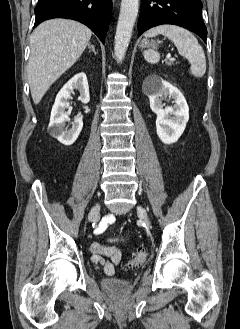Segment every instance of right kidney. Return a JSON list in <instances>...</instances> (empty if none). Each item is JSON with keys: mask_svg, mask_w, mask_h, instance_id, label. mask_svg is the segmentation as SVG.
I'll return each instance as SVG.
<instances>
[{"mask_svg": "<svg viewBox=\"0 0 240 329\" xmlns=\"http://www.w3.org/2000/svg\"><path fill=\"white\" fill-rule=\"evenodd\" d=\"M74 89L80 92L78 99L82 103L86 104L90 101L86 74L83 72L78 73L72 77L57 94L52 107L48 128L50 134L65 146H70L76 141L83 127L82 115L75 118L74 122H72L71 129L68 130L65 127L66 122L70 121L65 109L69 107L68 99H70Z\"/></svg>", "mask_w": 240, "mask_h": 329, "instance_id": "1", "label": "right kidney"}]
</instances>
